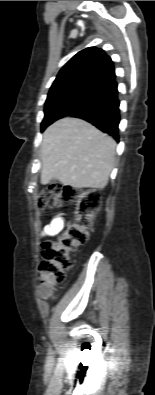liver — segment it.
Segmentation results:
<instances>
[{"label":"liver","instance_id":"1","mask_svg":"<svg viewBox=\"0 0 155 395\" xmlns=\"http://www.w3.org/2000/svg\"><path fill=\"white\" fill-rule=\"evenodd\" d=\"M116 142L90 123L65 117L50 125L41 146V184L103 189L114 168Z\"/></svg>","mask_w":155,"mask_h":395}]
</instances>
